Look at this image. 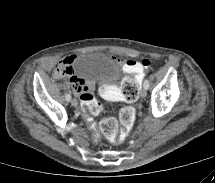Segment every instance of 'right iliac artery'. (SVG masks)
Returning a JSON list of instances; mask_svg holds the SVG:
<instances>
[{"instance_id":"82829eb1","label":"right iliac artery","mask_w":215,"mask_h":183,"mask_svg":"<svg viewBox=\"0 0 215 183\" xmlns=\"http://www.w3.org/2000/svg\"><path fill=\"white\" fill-rule=\"evenodd\" d=\"M70 100H71V95H70V94H67V95H66V101H67V102H70Z\"/></svg>"}]
</instances>
